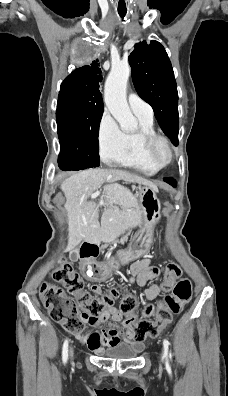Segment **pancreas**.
<instances>
[{"instance_id": "pancreas-1", "label": "pancreas", "mask_w": 228, "mask_h": 396, "mask_svg": "<svg viewBox=\"0 0 228 396\" xmlns=\"http://www.w3.org/2000/svg\"><path fill=\"white\" fill-rule=\"evenodd\" d=\"M129 233H130V232H128L127 234H129ZM121 234H126V233H121ZM123 236H127V235H123ZM116 239H118V238H116ZM121 239H122V240H127V238H120V239H118L119 241H118V240H115V241H112V242H115V243H118V242H119V243H120V242H121V241H120ZM123 242H124V241H123Z\"/></svg>"}]
</instances>
